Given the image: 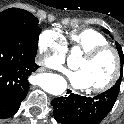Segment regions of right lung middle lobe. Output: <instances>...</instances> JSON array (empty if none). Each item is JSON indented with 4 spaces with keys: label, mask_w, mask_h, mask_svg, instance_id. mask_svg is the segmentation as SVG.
Instances as JSON below:
<instances>
[{
    "label": "right lung middle lobe",
    "mask_w": 124,
    "mask_h": 124,
    "mask_svg": "<svg viewBox=\"0 0 124 124\" xmlns=\"http://www.w3.org/2000/svg\"><path fill=\"white\" fill-rule=\"evenodd\" d=\"M38 19L26 10L9 8L0 13V35L31 36L38 42Z\"/></svg>",
    "instance_id": "1"
}]
</instances>
